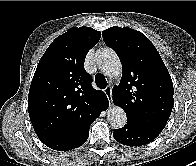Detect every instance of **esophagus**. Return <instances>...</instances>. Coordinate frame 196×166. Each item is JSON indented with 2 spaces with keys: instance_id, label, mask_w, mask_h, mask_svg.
<instances>
[{
  "instance_id": "34e87169",
  "label": "esophagus",
  "mask_w": 196,
  "mask_h": 166,
  "mask_svg": "<svg viewBox=\"0 0 196 166\" xmlns=\"http://www.w3.org/2000/svg\"><path fill=\"white\" fill-rule=\"evenodd\" d=\"M104 92L107 95L109 102L112 103V88H111V86H107L104 89Z\"/></svg>"
}]
</instances>
